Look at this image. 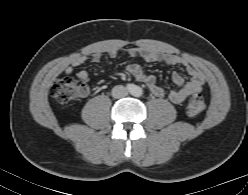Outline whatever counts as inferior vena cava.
Segmentation results:
<instances>
[{
    "label": "inferior vena cava",
    "mask_w": 248,
    "mask_h": 195,
    "mask_svg": "<svg viewBox=\"0 0 248 195\" xmlns=\"http://www.w3.org/2000/svg\"><path fill=\"white\" fill-rule=\"evenodd\" d=\"M127 95L128 90L122 85H117L112 89V96L116 99L126 97Z\"/></svg>",
    "instance_id": "obj_1"
}]
</instances>
